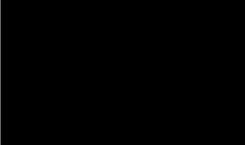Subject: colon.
I'll use <instances>...</instances> for the list:
<instances>
[{
  "label": "colon",
  "instance_id": "1",
  "mask_svg": "<svg viewBox=\"0 0 245 145\" xmlns=\"http://www.w3.org/2000/svg\"><path fill=\"white\" fill-rule=\"evenodd\" d=\"M202 70H203V74H204L205 78L208 79L209 76H210V66H209V64L208 63H204L202 65Z\"/></svg>",
  "mask_w": 245,
  "mask_h": 145
}]
</instances>
